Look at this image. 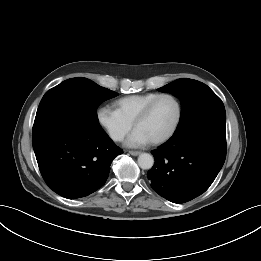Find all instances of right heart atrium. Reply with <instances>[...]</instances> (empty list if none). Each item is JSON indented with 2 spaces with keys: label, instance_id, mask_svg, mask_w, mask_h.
I'll use <instances>...</instances> for the list:
<instances>
[{
  "label": "right heart atrium",
  "instance_id": "1",
  "mask_svg": "<svg viewBox=\"0 0 261 261\" xmlns=\"http://www.w3.org/2000/svg\"><path fill=\"white\" fill-rule=\"evenodd\" d=\"M96 120L114 142L122 141L132 126L129 121L109 106H102L97 109Z\"/></svg>",
  "mask_w": 261,
  "mask_h": 261
}]
</instances>
